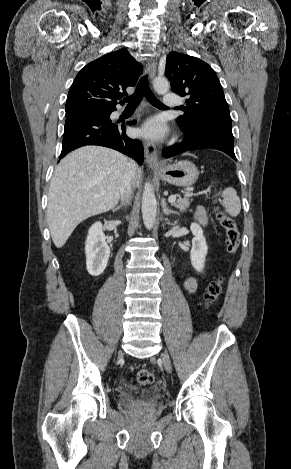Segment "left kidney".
<instances>
[{
    "mask_svg": "<svg viewBox=\"0 0 291 469\" xmlns=\"http://www.w3.org/2000/svg\"><path fill=\"white\" fill-rule=\"evenodd\" d=\"M190 229L194 235L190 252L191 264L197 272H202L204 269L208 247L203 235L202 228L198 224L192 223Z\"/></svg>",
    "mask_w": 291,
    "mask_h": 469,
    "instance_id": "1",
    "label": "left kidney"
}]
</instances>
